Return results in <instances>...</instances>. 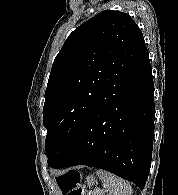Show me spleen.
Masks as SVG:
<instances>
[{"mask_svg":"<svg viewBox=\"0 0 178 195\" xmlns=\"http://www.w3.org/2000/svg\"><path fill=\"white\" fill-rule=\"evenodd\" d=\"M96 174L108 191L107 195H132V188L128 182L103 170H97Z\"/></svg>","mask_w":178,"mask_h":195,"instance_id":"spleen-1","label":"spleen"}]
</instances>
